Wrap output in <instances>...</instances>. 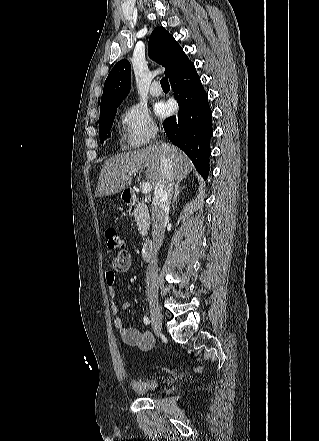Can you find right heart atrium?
Instances as JSON below:
<instances>
[{
  "label": "right heart atrium",
  "mask_w": 319,
  "mask_h": 441,
  "mask_svg": "<svg viewBox=\"0 0 319 441\" xmlns=\"http://www.w3.org/2000/svg\"><path fill=\"white\" fill-rule=\"evenodd\" d=\"M121 140L126 149H140L157 135V126L148 110L141 104H132L120 114Z\"/></svg>",
  "instance_id": "1"
}]
</instances>
